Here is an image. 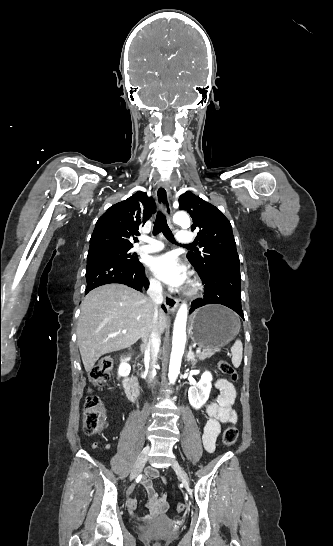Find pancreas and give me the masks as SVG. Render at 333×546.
<instances>
[{"label":"pancreas","mask_w":333,"mask_h":546,"mask_svg":"<svg viewBox=\"0 0 333 546\" xmlns=\"http://www.w3.org/2000/svg\"><path fill=\"white\" fill-rule=\"evenodd\" d=\"M215 352H216V350L207 348V349H204L201 353H197L196 357L199 360H205L207 358H210L212 355H214Z\"/></svg>","instance_id":"pancreas-1"}]
</instances>
